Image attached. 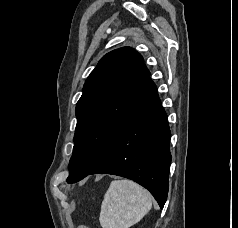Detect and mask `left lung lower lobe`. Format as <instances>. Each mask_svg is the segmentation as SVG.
I'll use <instances>...</instances> for the list:
<instances>
[{"label":"left lung lower lobe","instance_id":"1","mask_svg":"<svg viewBox=\"0 0 238 228\" xmlns=\"http://www.w3.org/2000/svg\"><path fill=\"white\" fill-rule=\"evenodd\" d=\"M170 136L167 115L150 79L105 159L90 172L69 177L67 182L75 183L97 173L122 176L148 189L163 208L168 194Z\"/></svg>","mask_w":238,"mask_h":228}]
</instances>
